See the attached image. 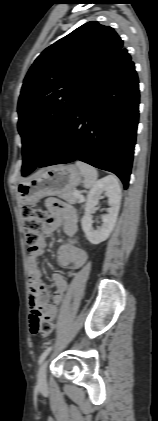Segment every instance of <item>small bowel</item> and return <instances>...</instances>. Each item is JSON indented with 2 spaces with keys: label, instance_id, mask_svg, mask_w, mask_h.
Masks as SVG:
<instances>
[{
  "label": "small bowel",
  "instance_id": "c3829d8e",
  "mask_svg": "<svg viewBox=\"0 0 158 421\" xmlns=\"http://www.w3.org/2000/svg\"><path fill=\"white\" fill-rule=\"evenodd\" d=\"M47 207L50 210V215L46 220L44 233L50 235L62 227L68 237V240L60 245L57 250L59 265L63 268L72 267L73 269H79L87 261V253L75 241V235L78 231L77 212L71 206L56 199H49ZM45 247L46 242L42 240L38 249L31 252L28 258L30 329L33 333L43 321L50 322L56 318L58 305L61 303L67 289L65 276L61 272L55 273L52 277L55 291L52 295V302H50L51 295L43 283L42 273L38 265L39 259L44 254Z\"/></svg>",
  "mask_w": 158,
  "mask_h": 421
}]
</instances>
